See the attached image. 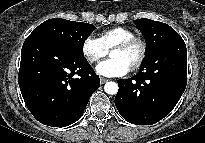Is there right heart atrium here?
Returning <instances> with one entry per match:
<instances>
[{
    "label": "right heart atrium",
    "mask_w": 205,
    "mask_h": 143,
    "mask_svg": "<svg viewBox=\"0 0 205 143\" xmlns=\"http://www.w3.org/2000/svg\"><path fill=\"white\" fill-rule=\"evenodd\" d=\"M82 53L89 63H97L108 54L98 38L87 36L82 43Z\"/></svg>",
    "instance_id": "1"
}]
</instances>
